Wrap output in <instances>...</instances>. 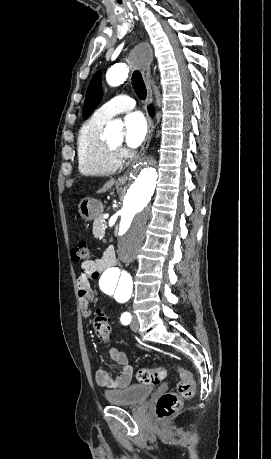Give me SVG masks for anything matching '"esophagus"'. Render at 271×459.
Here are the masks:
<instances>
[{
  "label": "esophagus",
  "mask_w": 271,
  "mask_h": 459,
  "mask_svg": "<svg viewBox=\"0 0 271 459\" xmlns=\"http://www.w3.org/2000/svg\"><path fill=\"white\" fill-rule=\"evenodd\" d=\"M136 38L138 40H141L143 38L141 30L137 31ZM132 65H133V68L142 69V76H143V79H144L146 87H147V96H146V101H145V108H146V119H147V122H148L147 134H146L145 140L143 142V145H142L140 151L138 152V154L136 155V157H135V159H134V161L132 163V165H134L139 159H141V157H143V155L147 151L148 146H149L150 141H151V138H152V135H153V132H154V125H153L152 118L150 117V115H149V113L147 111V106L151 103L152 96H153L152 95V88H151V84H150V69L152 67V62H151V60H138L137 63L133 62ZM129 170L130 169H128L127 172L124 173V175H122L117 180L116 183L118 185H124L125 184V182L128 179Z\"/></svg>",
  "instance_id": "1"
}]
</instances>
